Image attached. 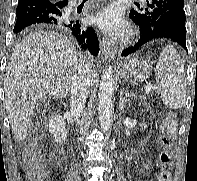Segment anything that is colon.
<instances>
[{
  "mask_svg": "<svg viewBox=\"0 0 197 181\" xmlns=\"http://www.w3.org/2000/svg\"><path fill=\"white\" fill-rule=\"evenodd\" d=\"M177 129L176 120L173 116H169L162 123V152L160 153L161 172L156 178V181H171V166L172 161L169 154V148L175 136ZM23 170L32 181H48V173L42 165V158L34 148L26 151L23 159Z\"/></svg>",
  "mask_w": 197,
  "mask_h": 181,
  "instance_id": "obj_1",
  "label": "colon"
}]
</instances>
